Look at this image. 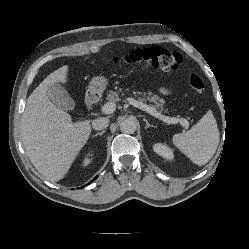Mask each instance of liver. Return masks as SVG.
<instances>
[{"mask_svg": "<svg viewBox=\"0 0 249 249\" xmlns=\"http://www.w3.org/2000/svg\"><path fill=\"white\" fill-rule=\"evenodd\" d=\"M67 74V65L50 73L28 97L21 118L27 156L37 171L51 182L66 175L91 134L89 120L73 122L47 95L52 84L67 82Z\"/></svg>", "mask_w": 249, "mask_h": 249, "instance_id": "6515ba94", "label": "liver"}]
</instances>
